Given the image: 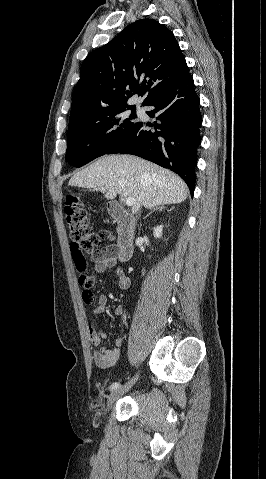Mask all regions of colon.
<instances>
[{"mask_svg":"<svg viewBox=\"0 0 266 479\" xmlns=\"http://www.w3.org/2000/svg\"><path fill=\"white\" fill-rule=\"evenodd\" d=\"M65 219L71 238L70 248L82 297L85 303L92 304L95 299L93 293L94 280L91 275L85 273L87 255L92 256L102 240L108 238L109 235L105 231L95 233L90 229L87 210L76 195L67 197ZM110 248L114 251L113 247Z\"/></svg>","mask_w":266,"mask_h":479,"instance_id":"obj_1","label":"colon"}]
</instances>
